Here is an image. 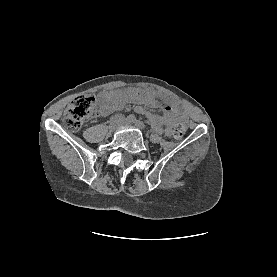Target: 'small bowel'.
<instances>
[{
	"label": "small bowel",
	"mask_w": 277,
	"mask_h": 277,
	"mask_svg": "<svg viewBox=\"0 0 277 277\" xmlns=\"http://www.w3.org/2000/svg\"><path fill=\"white\" fill-rule=\"evenodd\" d=\"M102 117L121 110L127 103L143 102L145 105L153 108H161L162 115L152 114L140 106L135 107V111L149 118L152 127L157 132H162L165 126V133H172V124L178 109L174 100L154 89H128L124 91H109L100 95Z\"/></svg>",
	"instance_id": "small-bowel-1"
}]
</instances>
